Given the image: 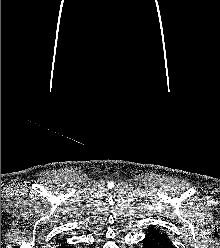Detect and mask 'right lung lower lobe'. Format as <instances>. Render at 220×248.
Wrapping results in <instances>:
<instances>
[{
	"mask_svg": "<svg viewBox=\"0 0 220 248\" xmlns=\"http://www.w3.org/2000/svg\"><path fill=\"white\" fill-rule=\"evenodd\" d=\"M61 242H63V241H61ZM58 248H71V247H69V246H67L65 244H61Z\"/></svg>",
	"mask_w": 220,
	"mask_h": 248,
	"instance_id": "obj_1",
	"label": "right lung lower lobe"
}]
</instances>
